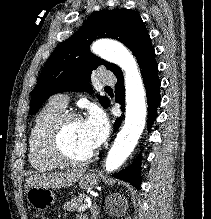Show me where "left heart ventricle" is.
Returning <instances> with one entry per match:
<instances>
[{
    "mask_svg": "<svg viewBox=\"0 0 211 219\" xmlns=\"http://www.w3.org/2000/svg\"><path fill=\"white\" fill-rule=\"evenodd\" d=\"M63 143L65 150L74 158H85L94 151L83 132L81 120L68 124L63 136Z\"/></svg>",
    "mask_w": 211,
    "mask_h": 219,
    "instance_id": "1",
    "label": "left heart ventricle"
}]
</instances>
